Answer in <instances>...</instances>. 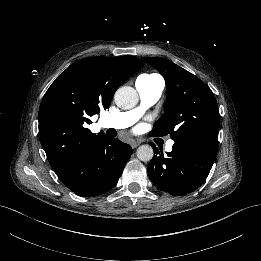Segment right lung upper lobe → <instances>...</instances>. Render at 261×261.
Instances as JSON below:
<instances>
[{
	"mask_svg": "<svg viewBox=\"0 0 261 261\" xmlns=\"http://www.w3.org/2000/svg\"><path fill=\"white\" fill-rule=\"evenodd\" d=\"M144 63L134 56L87 57L60 74L44 95L39 139L55 171L90 150L104 135L88 128L90 117L107 109L118 87Z\"/></svg>",
	"mask_w": 261,
	"mask_h": 261,
	"instance_id": "1",
	"label": "right lung upper lobe"
}]
</instances>
